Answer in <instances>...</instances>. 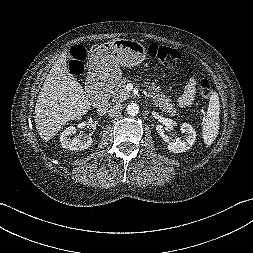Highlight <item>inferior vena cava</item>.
I'll return each instance as SVG.
<instances>
[{
    "mask_svg": "<svg viewBox=\"0 0 253 253\" xmlns=\"http://www.w3.org/2000/svg\"><path fill=\"white\" fill-rule=\"evenodd\" d=\"M121 104H114L113 106L104 105L98 111L108 113L109 116H116L121 113L122 111Z\"/></svg>",
    "mask_w": 253,
    "mask_h": 253,
    "instance_id": "602c4592",
    "label": "inferior vena cava"
}]
</instances>
